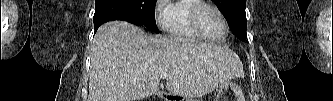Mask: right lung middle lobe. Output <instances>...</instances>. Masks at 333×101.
<instances>
[{
  "instance_id": "obj_1",
  "label": "right lung middle lobe",
  "mask_w": 333,
  "mask_h": 101,
  "mask_svg": "<svg viewBox=\"0 0 333 101\" xmlns=\"http://www.w3.org/2000/svg\"><path fill=\"white\" fill-rule=\"evenodd\" d=\"M133 12L137 19V25L145 26L149 30L159 33L155 21V3L157 0H121ZM99 0L95 1V4Z\"/></svg>"
}]
</instances>
